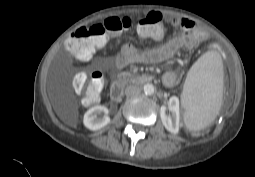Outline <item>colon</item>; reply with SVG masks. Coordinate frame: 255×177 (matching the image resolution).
Returning <instances> with one entry per match:
<instances>
[{
	"instance_id": "5ec220e1",
	"label": "colon",
	"mask_w": 255,
	"mask_h": 177,
	"mask_svg": "<svg viewBox=\"0 0 255 177\" xmlns=\"http://www.w3.org/2000/svg\"><path fill=\"white\" fill-rule=\"evenodd\" d=\"M162 23V15L155 11L136 17L107 18L103 22L87 25L74 32L66 41V50L76 59L87 60L107 43L109 35L116 36L136 29L143 37H158L161 35ZM104 84L105 75L101 71H94L90 75L80 72L73 81L74 89L88 104L98 101Z\"/></svg>"
}]
</instances>
